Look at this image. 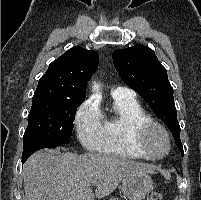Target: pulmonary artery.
<instances>
[{
    "label": "pulmonary artery",
    "instance_id": "1",
    "mask_svg": "<svg viewBox=\"0 0 201 200\" xmlns=\"http://www.w3.org/2000/svg\"><path fill=\"white\" fill-rule=\"evenodd\" d=\"M112 95H127V96H134V92L131 91L128 88L125 87H116L113 91H112Z\"/></svg>",
    "mask_w": 201,
    "mask_h": 200
}]
</instances>
